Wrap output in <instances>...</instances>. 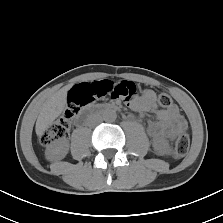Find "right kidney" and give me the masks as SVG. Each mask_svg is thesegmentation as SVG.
Here are the masks:
<instances>
[{
	"mask_svg": "<svg viewBox=\"0 0 223 223\" xmlns=\"http://www.w3.org/2000/svg\"><path fill=\"white\" fill-rule=\"evenodd\" d=\"M69 151V143L65 139L54 141L46 149L45 155L48 160L64 158Z\"/></svg>",
	"mask_w": 223,
	"mask_h": 223,
	"instance_id": "obj_1",
	"label": "right kidney"
}]
</instances>
